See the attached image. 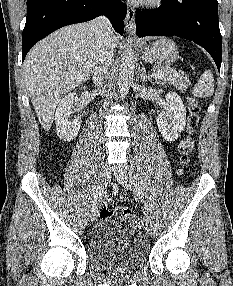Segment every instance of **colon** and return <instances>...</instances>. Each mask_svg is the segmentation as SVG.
<instances>
[{
	"label": "colon",
	"mask_w": 233,
	"mask_h": 286,
	"mask_svg": "<svg viewBox=\"0 0 233 286\" xmlns=\"http://www.w3.org/2000/svg\"><path fill=\"white\" fill-rule=\"evenodd\" d=\"M188 107H189V116H188V124H187V131L186 136L180 143V153H181V160L184 165H187L190 161V157L194 150V132L198 125L199 120V112L200 107L197 100L193 97L188 99ZM116 216L119 220L128 222L131 226L135 228H140L142 226L141 219L133 214L127 208H117L116 204L108 200L104 203L100 210V217L104 218H112Z\"/></svg>",
	"instance_id": "obj_1"
}]
</instances>
